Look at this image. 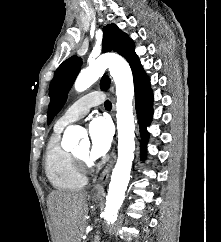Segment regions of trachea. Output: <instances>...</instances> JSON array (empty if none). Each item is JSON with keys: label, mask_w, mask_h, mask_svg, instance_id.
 I'll return each mask as SVG.
<instances>
[{"label": "trachea", "mask_w": 221, "mask_h": 242, "mask_svg": "<svg viewBox=\"0 0 221 242\" xmlns=\"http://www.w3.org/2000/svg\"><path fill=\"white\" fill-rule=\"evenodd\" d=\"M104 106L106 109L110 110L112 108V103L109 100H106Z\"/></svg>", "instance_id": "obj_1"}]
</instances>
